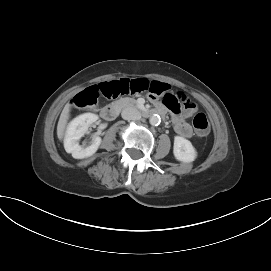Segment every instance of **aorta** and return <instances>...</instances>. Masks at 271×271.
<instances>
[{"label": "aorta", "mask_w": 271, "mask_h": 271, "mask_svg": "<svg viewBox=\"0 0 271 271\" xmlns=\"http://www.w3.org/2000/svg\"><path fill=\"white\" fill-rule=\"evenodd\" d=\"M149 122L151 125L153 126H157L160 124L161 122V119H160V116L159 115H152L149 119Z\"/></svg>", "instance_id": "762f6f07"}]
</instances>
